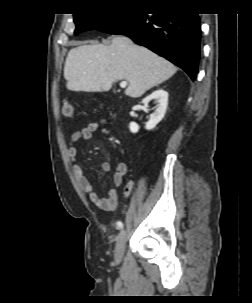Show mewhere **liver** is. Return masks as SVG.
<instances>
[{"mask_svg": "<svg viewBox=\"0 0 252 303\" xmlns=\"http://www.w3.org/2000/svg\"><path fill=\"white\" fill-rule=\"evenodd\" d=\"M177 68L129 38L113 36L109 45L92 43L69 51L64 78L71 91H109L115 81L126 80L125 94L137 98L169 79Z\"/></svg>", "mask_w": 252, "mask_h": 303, "instance_id": "6515ba94", "label": "liver"}]
</instances>
